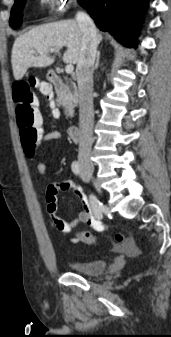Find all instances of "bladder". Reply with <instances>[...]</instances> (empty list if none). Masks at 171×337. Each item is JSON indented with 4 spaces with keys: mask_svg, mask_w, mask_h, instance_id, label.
<instances>
[{
    "mask_svg": "<svg viewBox=\"0 0 171 337\" xmlns=\"http://www.w3.org/2000/svg\"><path fill=\"white\" fill-rule=\"evenodd\" d=\"M68 265L72 271L86 276L101 275L106 268V262L101 259L70 261Z\"/></svg>",
    "mask_w": 171,
    "mask_h": 337,
    "instance_id": "31cf9c89",
    "label": "bladder"
}]
</instances>
